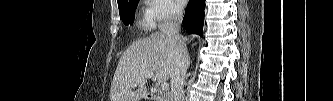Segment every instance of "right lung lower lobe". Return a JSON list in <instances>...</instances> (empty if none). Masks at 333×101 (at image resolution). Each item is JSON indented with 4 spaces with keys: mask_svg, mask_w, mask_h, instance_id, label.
Returning a JSON list of instances; mask_svg holds the SVG:
<instances>
[{
    "mask_svg": "<svg viewBox=\"0 0 333 101\" xmlns=\"http://www.w3.org/2000/svg\"><path fill=\"white\" fill-rule=\"evenodd\" d=\"M205 0H189L183 18V26L191 34L203 33Z\"/></svg>",
    "mask_w": 333,
    "mask_h": 101,
    "instance_id": "right-lung-lower-lobe-1",
    "label": "right lung lower lobe"
}]
</instances>
